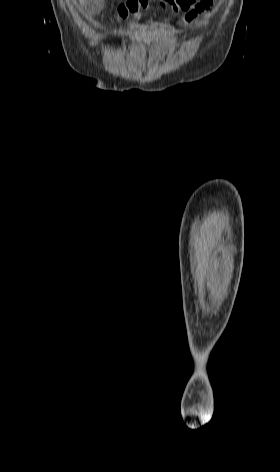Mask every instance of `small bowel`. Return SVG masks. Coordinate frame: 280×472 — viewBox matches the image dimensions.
I'll return each mask as SVG.
<instances>
[{
  "label": "small bowel",
  "instance_id": "1",
  "mask_svg": "<svg viewBox=\"0 0 280 472\" xmlns=\"http://www.w3.org/2000/svg\"><path fill=\"white\" fill-rule=\"evenodd\" d=\"M179 4L173 7L176 11L183 12V22L190 23L196 17L206 10L213 2V0H181Z\"/></svg>",
  "mask_w": 280,
  "mask_h": 472
}]
</instances>
